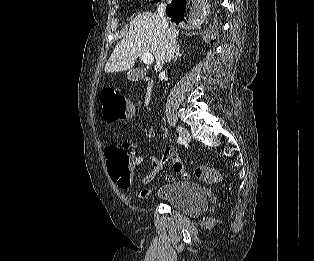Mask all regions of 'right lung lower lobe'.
I'll return each instance as SVG.
<instances>
[{
    "label": "right lung lower lobe",
    "instance_id": "98d812e1",
    "mask_svg": "<svg viewBox=\"0 0 314 261\" xmlns=\"http://www.w3.org/2000/svg\"><path fill=\"white\" fill-rule=\"evenodd\" d=\"M187 12H189V8L186 0H173L166 10L167 15L176 23L186 19Z\"/></svg>",
    "mask_w": 314,
    "mask_h": 261
}]
</instances>
